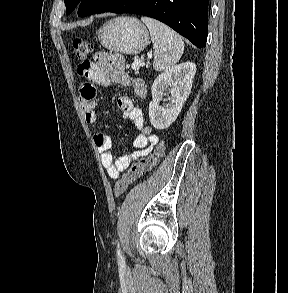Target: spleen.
Instances as JSON below:
<instances>
[{
  "instance_id": "3e777b00",
  "label": "spleen",
  "mask_w": 288,
  "mask_h": 293,
  "mask_svg": "<svg viewBox=\"0 0 288 293\" xmlns=\"http://www.w3.org/2000/svg\"><path fill=\"white\" fill-rule=\"evenodd\" d=\"M141 20L147 25L154 43V69L163 71L173 67L184 51L182 38L160 21L149 17H142Z\"/></svg>"
}]
</instances>
